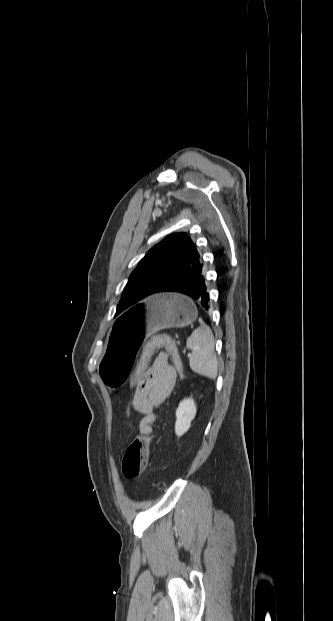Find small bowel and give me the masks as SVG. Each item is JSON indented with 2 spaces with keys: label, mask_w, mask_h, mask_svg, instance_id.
Instances as JSON below:
<instances>
[{
  "label": "small bowel",
  "mask_w": 333,
  "mask_h": 621,
  "mask_svg": "<svg viewBox=\"0 0 333 621\" xmlns=\"http://www.w3.org/2000/svg\"><path fill=\"white\" fill-rule=\"evenodd\" d=\"M177 379L175 369L168 363L165 353H160L141 379L132 398L133 408L143 415L138 428L150 434L155 420L154 408L160 405L173 390Z\"/></svg>",
  "instance_id": "c3829d8e"
}]
</instances>
